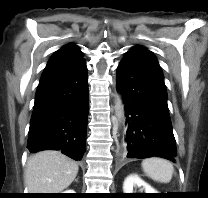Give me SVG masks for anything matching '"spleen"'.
I'll return each instance as SVG.
<instances>
[{
  "label": "spleen",
  "mask_w": 208,
  "mask_h": 198,
  "mask_svg": "<svg viewBox=\"0 0 208 198\" xmlns=\"http://www.w3.org/2000/svg\"><path fill=\"white\" fill-rule=\"evenodd\" d=\"M144 173L152 180L160 183H169L174 173L173 165L162 158H148L142 161Z\"/></svg>",
  "instance_id": "3e777b00"
}]
</instances>
